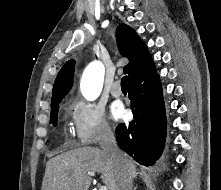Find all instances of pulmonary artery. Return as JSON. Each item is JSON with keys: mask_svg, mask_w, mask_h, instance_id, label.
Returning <instances> with one entry per match:
<instances>
[{"mask_svg": "<svg viewBox=\"0 0 221 190\" xmlns=\"http://www.w3.org/2000/svg\"><path fill=\"white\" fill-rule=\"evenodd\" d=\"M110 92L114 97H119L122 94V89L119 82H115L110 87Z\"/></svg>", "mask_w": 221, "mask_h": 190, "instance_id": "pulmonary-artery-1", "label": "pulmonary artery"}]
</instances>
